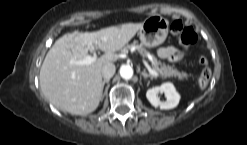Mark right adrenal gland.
<instances>
[{
  "label": "right adrenal gland",
  "mask_w": 247,
  "mask_h": 145,
  "mask_svg": "<svg viewBox=\"0 0 247 145\" xmlns=\"http://www.w3.org/2000/svg\"><path fill=\"white\" fill-rule=\"evenodd\" d=\"M109 79H104L103 80V82H102V90H103V88H104V85H105V83H109ZM102 97H103V95H102Z\"/></svg>",
  "instance_id": "obj_1"
}]
</instances>
